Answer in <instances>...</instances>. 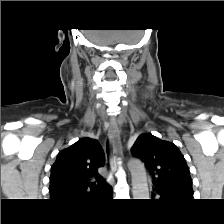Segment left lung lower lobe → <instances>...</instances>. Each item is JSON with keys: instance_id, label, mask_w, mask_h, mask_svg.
I'll list each match as a JSON object with an SVG mask.
<instances>
[{"instance_id": "obj_1", "label": "left lung lower lobe", "mask_w": 224, "mask_h": 224, "mask_svg": "<svg viewBox=\"0 0 224 224\" xmlns=\"http://www.w3.org/2000/svg\"><path fill=\"white\" fill-rule=\"evenodd\" d=\"M156 192L160 195V201L178 202V201H185V200L192 199L185 194L160 192L158 190ZM152 198H153V195H152Z\"/></svg>"}]
</instances>
